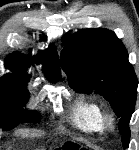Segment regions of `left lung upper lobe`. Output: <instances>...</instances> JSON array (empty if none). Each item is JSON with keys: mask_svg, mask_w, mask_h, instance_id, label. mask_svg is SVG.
I'll list each match as a JSON object with an SVG mask.
<instances>
[{"mask_svg": "<svg viewBox=\"0 0 139 150\" xmlns=\"http://www.w3.org/2000/svg\"><path fill=\"white\" fill-rule=\"evenodd\" d=\"M62 67L70 85L78 91L92 90L112 106L119 120L123 147L129 146V121L133 114L138 80L128 53L114 32L87 29L63 38Z\"/></svg>", "mask_w": 139, "mask_h": 150, "instance_id": "left-lung-upper-lobe-1", "label": "left lung upper lobe"}]
</instances>
